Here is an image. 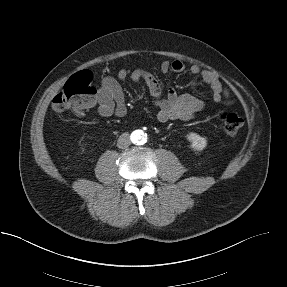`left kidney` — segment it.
Masks as SVG:
<instances>
[{"label": "left kidney", "instance_id": "obj_1", "mask_svg": "<svg viewBox=\"0 0 287 287\" xmlns=\"http://www.w3.org/2000/svg\"><path fill=\"white\" fill-rule=\"evenodd\" d=\"M187 139L191 142V147L194 150L201 151L207 145V140L204 137H201L197 133H189Z\"/></svg>", "mask_w": 287, "mask_h": 287}]
</instances>
